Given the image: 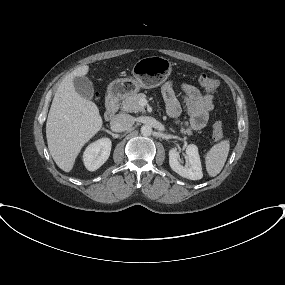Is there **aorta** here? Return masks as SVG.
I'll list each match as a JSON object with an SVG mask.
<instances>
[{
    "mask_svg": "<svg viewBox=\"0 0 285 285\" xmlns=\"http://www.w3.org/2000/svg\"><path fill=\"white\" fill-rule=\"evenodd\" d=\"M141 134L143 136H150L152 134V127L150 125H143L141 127Z\"/></svg>",
    "mask_w": 285,
    "mask_h": 285,
    "instance_id": "762f6f07",
    "label": "aorta"
}]
</instances>
